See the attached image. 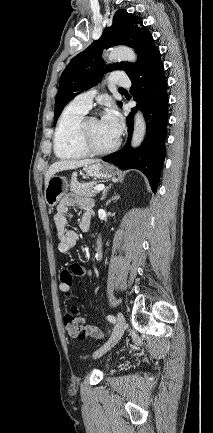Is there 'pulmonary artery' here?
I'll return each instance as SVG.
<instances>
[{"label":"pulmonary artery","instance_id":"1","mask_svg":"<svg viewBox=\"0 0 213 433\" xmlns=\"http://www.w3.org/2000/svg\"><path fill=\"white\" fill-rule=\"evenodd\" d=\"M111 83L121 87H129L131 81L126 74L122 72H114L111 76ZM96 93V90L84 91L74 98L73 103L88 111L92 106V101Z\"/></svg>","mask_w":213,"mask_h":433}]
</instances>
